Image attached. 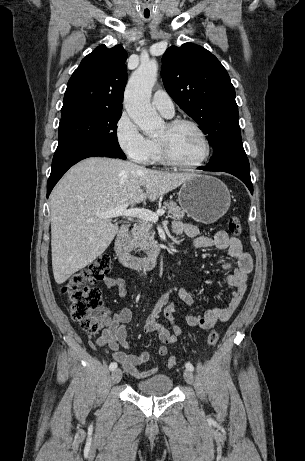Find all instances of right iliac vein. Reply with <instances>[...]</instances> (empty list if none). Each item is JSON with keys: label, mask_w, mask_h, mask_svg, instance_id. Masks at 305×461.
Segmentation results:
<instances>
[{"label": "right iliac vein", "mask_w": 305, "mask_h": 461, "mask_svg": "<svg viewBox=\"0 0 305 461\" xmlns=\"http://www.w3.org/2000/svg\"><path fill=\"white\" fill-rule=\"evenodd\" d=\"M122 378V372L120 369H115L111 375V381L113 384L119 383Z\"/></svg>", "instance_id": "obj_1"}]
</instances>
